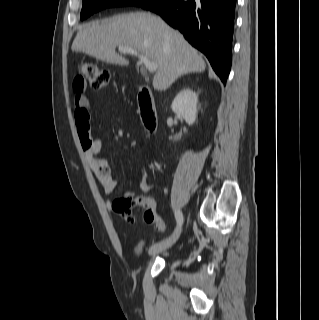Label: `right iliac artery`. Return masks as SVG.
Wrapping results in <instances>:
<instances>
[{
    "instance_id": "obj_1",
    "label": "right iliac artery",
    "mask_w": 319,
    "mask_h": 320,
    "mask_svg": "<svg viewBox=\"0 0 319 320\" xmlns=\"http://www.w3.org/2000/svg\"><path fill=\"white\" fill-rule=\"evenodd\" d=\"M175 218H176L178 226L180 227L183 223V215L180 210L175 211Z\"/></svg>"
}]
</instances>
